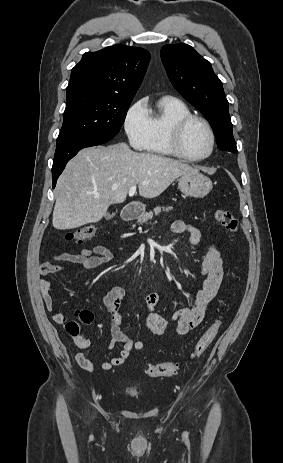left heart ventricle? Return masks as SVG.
Here are the masks:
<instances>
[{"label":"left heart ventricle","mask_w":283,"mask_h":463,"mask_svg":"<svg viewBox=\"0 0 283 463\" xmlns=\"http://www.w3.org/2000/svg\"><path fill=\"white\" fill-rule=\"evenodd\" d=\"M182 147L186 154L200 157L210 149V136L207 129L200 122L191 123L185 130Z\"/></svg>","instance_id":"b2bd125f"}]
</instances>
